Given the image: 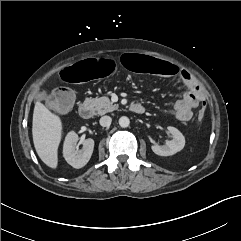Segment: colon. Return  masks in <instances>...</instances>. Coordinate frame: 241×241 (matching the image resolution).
I'll use <instances>...</instances> for the list:
<instances>
[{
  "label": "colon",
  "mask_w": 241,
  "mask_h": 241,
  "mask_svg": "<svg viewBox=\"0 0 241 241\" xmlns=\"http://www.w3.org/2000/svg\"><path fill=\"white\" fill-rule=\"evenodd\" d=\"M120 63L124 69L129 71L151 74L156 77H175L179 74L177 65L171 64L168 59L152 55L127 52L121 56ZM115 71L116 64L112 59L95 57L63 66L59 77L63 83L81 86L89 81H101L112 76ZM73 100V93L65 88L54 91L47 99L51 107L60 111L68 109ZM204 116L205 107L203 106L198 113V119L202 120Z\"/></svg>",
  "instance_id": "obj_1"
}]
</instances>
